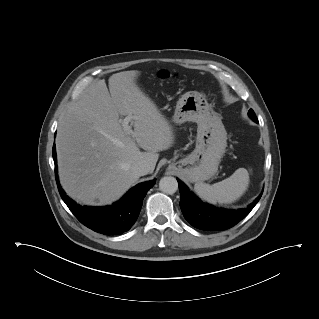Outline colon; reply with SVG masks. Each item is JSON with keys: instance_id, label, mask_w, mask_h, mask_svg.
<instances>
[{"instance_id": "5ec220e1", "label": "colon", "mask_w": 319, "mask_h": 319, "mask_svg": "<svg viewBox=\"0 0 319 319\" xmlns=\"http://www.w3.org/2000/svg\"><path fill=\"white\" fill-rule=\"evenodd\" d=\"M161 77H162V78H166V77H168V73H166V72H162V73H161Z\"/></svg>"}]
</instances>
